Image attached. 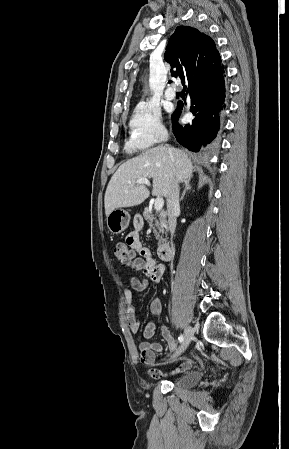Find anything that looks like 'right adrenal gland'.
<instances>
[{
	"label": "right adrenal gland",
	"mask_w": 289,
	"mask_h": 449,
	"mask_svg": "<svg viewBox=\"0 0 289 449\" xmlns=\"http://www.w3.org/2000/svg\"><path fill=\"white\" fill-rule=\"evenodd\" d=\"M184 185H185V188H184V191H183V193H182V195H181V197H180V202L183 200V198H184V196H185V194H186V192L188 191V190H191V184H190V180H186L185 182H184Z\"/></svg>",
	"instance_id": "2a0ac1e0"
}]
</instances>
